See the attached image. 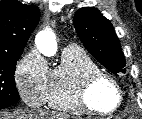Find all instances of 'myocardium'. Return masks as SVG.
<instances>
[{
    "label": "myocardium",
    "instance_id": "obj_1",
    "mask_svg": "<svg viewBox=\"0 0 142 119\" xmlns=\"http://www.w3.org/2000/svg\"><path fill=\"white\" fill-rule=\"evenodd\" d=\"M103 81L109 83L117 93L116 104L108 110H100L94 107L90 100V94L94 86ZM73 98L83 112L93 115L105 116L111 115L119 109L123 102V93L119 83L115 80V78L99 70L84 75L76 83L73 89Z\"/></svg>",
    "mask_w": 142,
    "mask_h": 119
}]
</instances>
